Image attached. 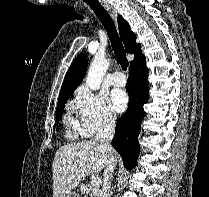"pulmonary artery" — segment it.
<instances>
[{
  "label": "pulmonary artery",
  "mask_w": 209,
  "mask_h": 197,
  "mask_svg": "<svg viewBox=\"0 0 209 197\" xmlns=\"http://www.w3.org/2000/svg\"><path fill=\"white\" fill-rule=\"evenodd\" d=\"M110 83L115 87H123L126 84V78L120 71H115L111 75Z\"/></svg>",
  "instance_id": "pulmonary-artery-1"
}]
</instances>
